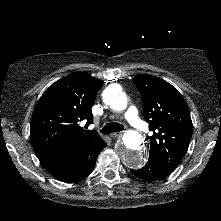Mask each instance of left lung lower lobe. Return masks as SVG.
I'll list each match as a JSON object with an SVG mask.
<instances>
[{"instance_id":"obj_1","label":"left lung lower lobe","mask_w":221,"mask_h":221,"mask_svg":"<svg viewBox=\"0 0 221 221\" xmlns=\"http://www.w3.org/2000/svg\"><path fill=\"white\" fill-rule=\"evenodd\" d=\"M130 172L136 177L145 181L159 180L170 173L165 168H163L156 159L151 157H149L148 162L143 168L139 170L131 169Z\"/></svg>"}]
</instances>
